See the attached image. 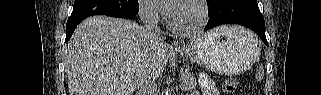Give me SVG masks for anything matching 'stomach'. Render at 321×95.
I'll return each instance as SVG.
<instances>
[{
  "label": "stomach",
  "mask_w": 321,
  "mask_h": 95,
  "mask_svg": "<svg viewBox=\"0 0 321 95\" xmlns=\"http://www.w3.org/2000/svg\"><path fill=\"white\" fill-rule=\"evenodd\" d=\"M225 27L204 34L176 52L217 73L233 75L246 70L260 54L259 41L244 28Z\"/></svg>",
  "instance_id": "obj_1"
}]
</instances>
